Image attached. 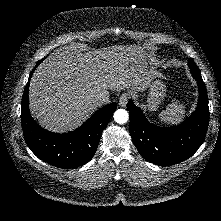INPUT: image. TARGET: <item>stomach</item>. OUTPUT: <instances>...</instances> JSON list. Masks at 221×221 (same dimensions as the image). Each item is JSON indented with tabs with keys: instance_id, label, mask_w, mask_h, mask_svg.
Returning <instances> with one entry per match:
<instances>
[{
	"instance_id": "obj_1",
	"label": "stomach",
	"mask_w": 221,
	"mask_h": 221,
	"mask_svg": "<svg viewBox=\"0 0 221 221\" xmlns=\"http://www.w3.org/2000/svg\"><path fill=\"white\" fill-rule=\"evenodd\" d=\"M166 96V86L163 76L157 74L153 77L148 86V94L146 96L145 108L149 111H156Z\"/></svg>"
}]
</instances>
